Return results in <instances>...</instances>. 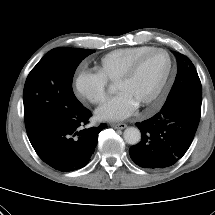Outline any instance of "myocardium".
<instances>
[{
	"label": "myocardium",
	"mask_w": 215,
	"mask_h": 215,
	"mask_svg": "<svg viewBox=\"0 0 215 215\" xmlns=\"http://www.w3.org/2000/svg\"><path fill=\"white\" fill-rule=\"evenodd\" d=\"M157 52L164 53L167 56L169 62L168 68L162 82L160 83L156 91L152 94V96L149 99H147L143 104H141V106H147L155 102L165 89L173 69V58L171 54L166 49L163 48H152L138 56L136 59H134L116 81V84H119L131 79L135 72L137 71L140 64L145 60V58Z\"/></svg>",
	"instance_id": "f54148a6"
}]
</instances>
